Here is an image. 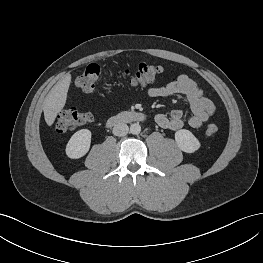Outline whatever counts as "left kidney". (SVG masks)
<instances>
[{"label": "left kidney", "instance_id": "1", "mask_svg": "<svg viewBox=\"0 0 263 263\" xmlns=\"http://www.w3.org/2000/svg\"><path fill=\"white\" fill-rule=\"evenodd\" d=\"M175 141L177 146L186 153H194L201 144L199 140L186 129H181L175 132Z\"/></svg>", "mask_w": 263, "mask_h": 263}]
</instances>
